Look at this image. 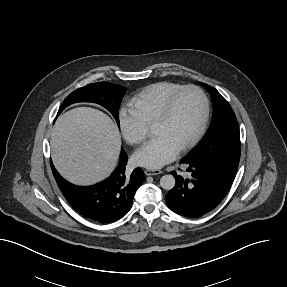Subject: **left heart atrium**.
Returning <instances> with one entry per match:
<instances>
[{"label": "left heart atrium", "instance_id": "1", "mask_svg": "<svg viewBox=\"0 0 287 287\" xmlns=\"http://www.w3.org/2000/svg\"><path fill=\"white\" fill-rule=\"evenodd\" d=\"M178 151L165 137L156 136L134 154V160L141 166L156 169L172 161Z\"/></svg>", "mask_w": 287, "mask_h": 287}]
</instances>
